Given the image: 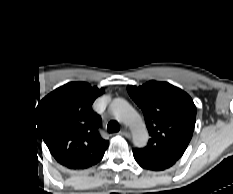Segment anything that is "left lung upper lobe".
<instances>
[{"label": "left lung upper lobe", "mask_w": 233, "mask_h": 194, "mask_svg": "<svg viewBox=\"0 0 233 194\" xmlns=\"http://www.w3.org/2000/svg\"><path fill=\"white\" fill-rule=\"evenodd\" d=\"M127 91L142 109L150 135L148 145L135 150L150 158L176 162L194 131L196 107L191 97L178 87L157 81L128 86Z\"/></svg>", "instance_id": "left-lung-upper-lobe-1"}]
</instances>
